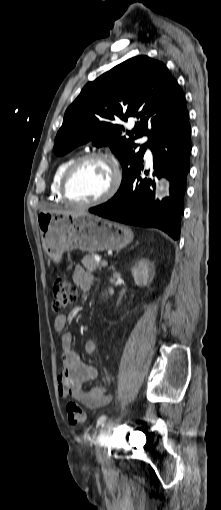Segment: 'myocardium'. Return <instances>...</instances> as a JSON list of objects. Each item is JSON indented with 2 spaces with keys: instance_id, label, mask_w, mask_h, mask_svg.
Instances as JSON below:
<instances>
[{
  "instance_id": "obj_1",
  "label": "myocardium",
  "mask_w": 221,
  "mask_h": 510,
  "mask_svg": "<svg viewBox=\"0 0 221 510\" xmlns=\"http://www.w3.org/2000/svg\"><path fill=\"white\" fill-rule=\"evenodd\" d=\"M94 159L102 160V161H105L107 164H109V166L111 167L112 172H113L112 184L105 194H103L101 197H99L93 201H89V202L76 201L71 197L69 190H68V185H69L70 179H71L72 175L74 174V172L76 171V169L82 163L89 161V160H94ZM121 182H122L121 170H120L119 165L116 162V160L110 154L104 153V152H89V153H85V154L77 157L76 159H74L71 162V164L67 167V169L63 173V176L61 179L60 193H61L63 199L67 203H69L70 205H72L74 207L91 208V207L103 204V203L107 202L108 200L112 199L117 194V192L121 186Z\"/></svg>"
}]
</instances>
